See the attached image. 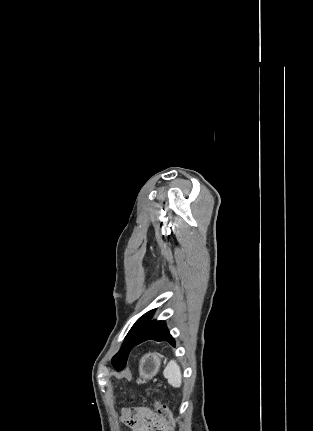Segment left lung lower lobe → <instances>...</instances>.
<instances>
[{
    "label": "left lung lower lobe",
    "instance_id": "left-lung-lower-lobe-1",
    "mask_svg": "<svg viewBox=\"0 0 313 431\" xmlns=\"http://www.w3.org/2000/svg\"><path fill=\"white\" fill-rule=\"evenodd\" d=\"M168 341L173 346L175 345L174 338L170 335L164 321H149L142 328L138 336L132 343V348L146 340Z\"/></svg>",
    "mask_w": 313,
    "mask_h": 431
}]
</instances>
